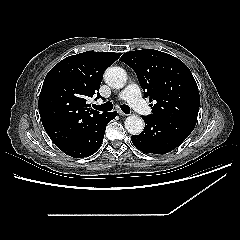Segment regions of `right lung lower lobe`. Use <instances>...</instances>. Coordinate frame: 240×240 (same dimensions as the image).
<instances>
[{
	"label": "right lung lower lobe",
	"mask_w": 240,
	"mask_h": 240,
	"mask_svg": "<svg viewBox=\"0 0 240 240\" xmlns=\"http://www.w3.org/2000/svg\"><path fill=\"white\" fill-rule=\"evenodd\" d=\"M116 116V111L110 113L106 112L99 120L96 121L92 129L87 134L68 144L58 146V148L66 155L74 158H83L94 154L103 142L106 125Z\"/></svg>",
	"instance_id": "obj_1"
}]
</instances>
